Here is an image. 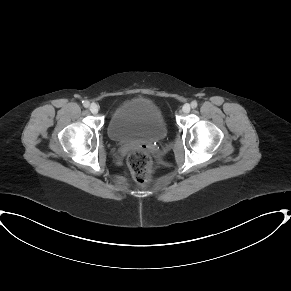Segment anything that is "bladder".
Wrapping results in <instances>:
<instances>
[{"instance_id":"bladder-1","label":"bladder","mask_w":291,"mask_h":291,"mask_svg":"<svg viewBox=\"0 0 291 291\" xmlns=\"http://www.w3.org/2000/svg\"><path fill=\"white\" fill-rule=\"evenodd\" d=\"M167 130L160 106L144 97H134L121 102L107 126L108 134L122 142L142 139L159 141L166 136Z\"/></svg>"}]
</instances>
